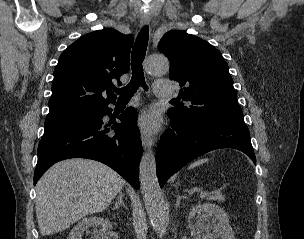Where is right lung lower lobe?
<instances>
[{
  "instance_id": "98d812e1",
  "label": "right lung lower lobe",
  "mask_w": 304,
  "mask_h": 239,
  "mask_svg": "<svg viewBox=\"0 0 304 239\" xmlns=\"http://www.w3.org/2000/svg\"><path fill=\"white\" fill-rule=\"evenodd\" d=\"M111 113L106 104L84 118L45 122V131L38 146L34 185L54 163L79 157L108 165L138 189L142 144L136 126V112L132 107L127 108L119 116L121 123H113L109 127L110 124L104 125L102 118L111 116Z\"/></svg>"
}]
</instances>
